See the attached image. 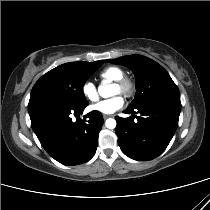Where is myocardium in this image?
<instances>
[{
	"label": "myocardium",
	"mask_w": 210,
	"mask_h": 210,
	"mask_svg": "<svg viewBox=\"0 0 210 210\" xmlns=\"http://www.w3.org/2000/svg\"><path fill=\"white\" fill-rule=\"evenodd\" d=\"M114 85L119 88V93L123 94L125 97H132L135 94L136 84L129 77H121L114 82Z\"/></svg>",
	"instance_id": "f54148a6"
}]
</instances>
